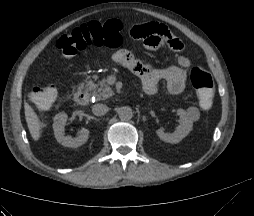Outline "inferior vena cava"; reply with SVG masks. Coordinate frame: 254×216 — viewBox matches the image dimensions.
<instances>
[{
	"label": "inferior vena cava",
	"instance_id": "obj_1",
	"mask_svg": "<svg viewBox=\"0 0 254 216\" xmlns=\"http://www.w3.org/2000/svg\"><path fill=\"white\" fill-rule=\"evenodd\" d=\"M109 108L105 104H95L92 107V112L96 116H102L108 112Z\"/></svg>",
	"mask_w": 254,
	"mask_h": 216
}]
</instances>
